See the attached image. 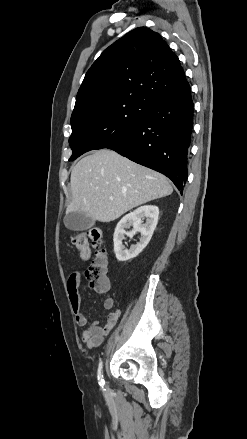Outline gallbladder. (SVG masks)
<instances>
[{
    "label": "gallbladder",
    "instance_id": "obj_1",
    "mask_svg": "<svg viewBox=\"0 0 247 439\" xmlns=\"http://www.w3.org/2000/svg\"><path fill=\"white\" fill-rule=\"evenodd\" d=\"M94 223V219L80 212H69L64 217L65 227L73 231L86 230L91 228Z\"/></svg>",
    "mask_w": 247,
    "mask_h": 439
}]
</instances>
